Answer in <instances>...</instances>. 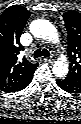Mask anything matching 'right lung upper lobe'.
I'll use <instances>...</instances> for the list:
<instances>
[{
	"label": "right lung upper lobe",
	"mask_w": 81,
	"mask_h": 124,
	"mask_svg": "<svg viewBox=\"0 0 81 124\" xmlns=\"http://www.w3.org/2000/svg\"><path fill=\"white\" fill-rule=\"evenodd\" d=\"M30 12L21 5L7 8L0 16V89L10 90L24 82L38 63L18 59L24 50L20 36Z\"/></svg>",
	"instance_id": "1"
}]
</instances>
